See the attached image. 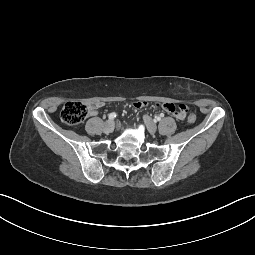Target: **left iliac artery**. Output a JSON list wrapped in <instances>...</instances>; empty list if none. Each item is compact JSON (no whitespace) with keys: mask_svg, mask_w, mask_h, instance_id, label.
Returning a JSON list of instances; mask_svg holds the SVG:
<instances>
[{"mask_svg":"<svg viewBox=\"0 0 255 255\" xmlns=\"http://www.w3.org/2000/svg\"><path fill=\"white\" fill-rule=\"evenodd\" d=\"M155 120L160 121V120H161V117L156 116V117H155Z\"/></svg>","mask_w":255,"mask_h":255,"instance_id":"1","label":"left iliac artery"}]
</instances>
